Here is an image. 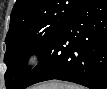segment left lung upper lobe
I'll return each instance as SVG.
<instances>
[{"label": "left lung upper lobe", "mask_w": 107, "mask_h": 89, "mask_svg": "<svg viewBox=\"0 0 107 89\" xmlns=\"http://www.w3.org/2000/svg\"><path fill=\"white\" fill-rule=\"evenodd\" d=\"M84 0H17L10 15L5 42L7 65L5 85L14 89L30 69L26 60L39 55L54 38L69 16Z\"/></svg>", "instance_id": "left-lung-upper-lobe-1"}]
</instances>
